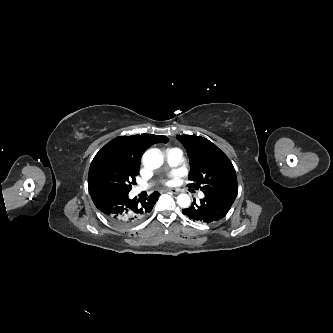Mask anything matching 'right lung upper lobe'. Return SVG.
I'll return each mask as SVG.
<instances>
[{"label":"right lung upper lobe","instance_id":"1","mask_svg":"<svg viewBox=\"0 0 333 333\" xmlns=\"http://www.w3.org/2000/svg\"><path fill=\"white\" fill-rule=\"evenodd\" d=\"M167 143L166 136L151 134L120 136L107 143L96 156L111 154L120 157L134 166L140 167L142 154L155 143ZM95 156V157H96Z\"/></svg>","mask_w":333,"mask_h":333}]
</instances>
